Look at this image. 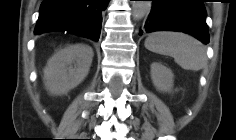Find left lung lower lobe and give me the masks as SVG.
I'll list each match as a JSON object with an SVG mask.
<instances>
[{
	"instance_id": "0a47b994",
	"label": "left lung lower lobe",
	"mask_w": 236,
	"mask_h": 140,
	"mask_svg": "<svg viewBox=\"0 0 236 140\" xmlns=\"http://www.w3.org/2000/svg\"><path fill=\"white\" fill-rule=\"evenodd\" d=\"M203 0H153L144 31H180L209 43ZM141 31L139 34L141 35Z\"/></svg>"
}]
</instances>
